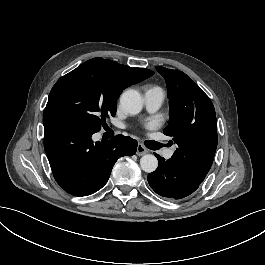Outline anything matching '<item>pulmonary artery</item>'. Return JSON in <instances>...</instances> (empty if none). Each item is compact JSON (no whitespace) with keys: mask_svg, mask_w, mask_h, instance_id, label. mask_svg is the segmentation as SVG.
Listing matches in <instances>:
<instances>
[{"mask_svg":"<svg viewBox=\"0 0 265 265\" xmlns=\"http://www.w3.org/2000/svg\"><path fill=\"white\" fill-rule=\"evenodd\" d=\"M144 100L149 109L156 110L165 102V95L159 88L152 87L144 94Z\"/></svg>","mask_w":265,"mask_h":265,"instance_id":"e3ab8cb5","label":"pulmonary artery"}]
</instances>
